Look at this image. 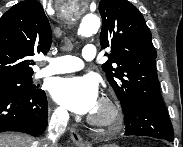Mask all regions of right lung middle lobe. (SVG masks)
Segmentation results:
<instances>
[{
    "mask_svg": "<svg viewBox=\"0 0 183 147\" xmlns=\"http://www.w3.org/2000/svg\"><path fill=\"white\" fill-rule=\"evenodd\" d=\"M38 89L32 84V75L0 80V92L9 90L31 91Z\"/></svg>",
    "mask_w": 183,
    "mask_h": 147,
    "instance_id": "dd1d6c3e",
    "label": "right lung middle lobe"
}]
</instances>
